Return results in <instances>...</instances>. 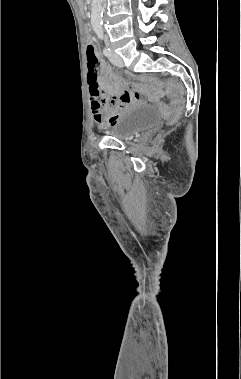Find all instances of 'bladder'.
<instances>
[{
    "label": "bladder",
    "instance_id": "bladder-1",
    "mask_svg": "<svg viewBox=\"0 0 241 379\" xmlns=\"http://www.w3.org/2000/svg\"><path fill=\"white\" fill-rule=\"evenodd\" d=\"M159 111L149 105H136L119 117L111 126L112 137L127 141L159 124Z\"/></svg>",
    "mask_w": 241,
    "mask_h": 379
}]
</instances>
